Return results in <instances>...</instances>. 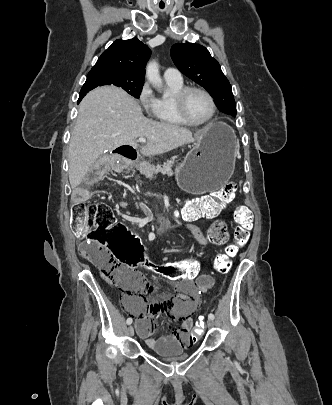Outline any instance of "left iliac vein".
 Listing matches in <instances>:
<instances>
[{
  "mask_svg": "<svg viewBox=\"0 0 332 405\" xmlns=\"http://www.w3.org/2000/svg\"><path fill=\"white\" fill-rule=\"evenodd\" d=\"M207 326H208L209 328L213 327V326H214V321L211 320V319H208V320H207Z\"/></svg>",
  "mask_w": 332,
  "mask_h": 405,
  "instance_id": "obj_1",
  "label": "left iliac vein"
}]
</instances>
